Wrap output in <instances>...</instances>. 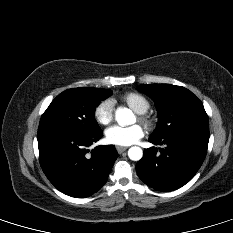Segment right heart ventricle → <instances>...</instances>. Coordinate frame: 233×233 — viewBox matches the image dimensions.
Returning a JSON list of instances; mask_svg holds the SVG:
<instances>
[{
    "instance_id": "1",
    "label": "right heart ventricle",
    "mask_w": 233,
    "mask_h": 233,
    "mask_svg": "<svg viewBox=\"0 0 233 233\" xmlns=\"http://www.w3.org/2000/svg\"><path fill=\"white\" fill-rule=\"evenodd\" d=\"M122 100L136 113H146L150 108L149 100L137 92H128L124 94Z\"/></svg>"
}]
</instances>
